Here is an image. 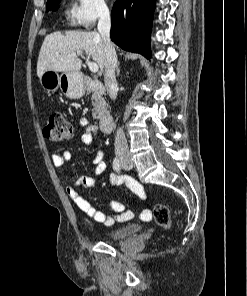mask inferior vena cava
Returning <instances> with one entry per match:
<instances>
[{"label": "inferior vena cava", "instance_id": "obj_1", "mask_svg": "<svg viewBox=\"0 0 247 296\" xmlns=\"http://www.w3.org/2000/svg\"><path fill=\"white\" fill-rule=\"evenodd\" d=\"M110 12L108 8H103L99 15L98 31L104 43L105 65H104V82L107 93L111 99L117 97V81L115 77V69L117 67V56L115 48L110 40ZM115 151H128V144L122 128H119L115 136Z\"/></svg>", "mask_w": 247, "mask_h": 296}]
</instances>
